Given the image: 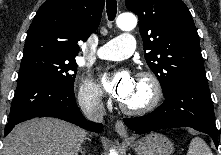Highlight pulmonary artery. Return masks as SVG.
Masks as SVG:
<instances>
[{
  "instance_id": "e3ab8cb5",
  "label": "pulmonary artery",
  "mask_w": 221,
  "mask_h": 155,
  "mask_svg": "<svg viewBox=\"0 0 221 155\" xmlns=\"http://www.w3.org/2000/svg\"><path fill=\"white\" fill-rule=\"evenodd\" d=\"M135 49V39L131 34L123 33L97 51V56L106 60H123L129 57Z\"/></svg>"
}]
</instances>
